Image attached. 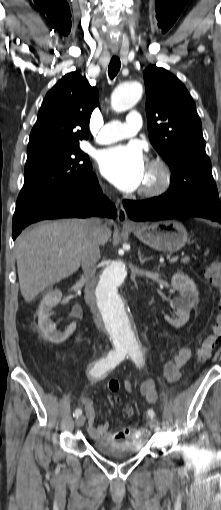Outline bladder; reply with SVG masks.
<instances>
[{"instance_id":"1","label":"bladder","mask_w":221,"mask_h":510,"mask_svg":"<svg viewBox=\"0 0 221 510\" xmlns=\"http://www.w3.org/2000/svg\"><path fill=\"white\" fill-rule=\"evenodd\" d=\"M97 452L111 458H126L135 455L142 449V443L138 439L131 441H93Z\"/></svg>"}]
</instances>
